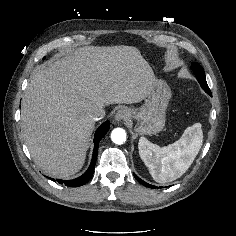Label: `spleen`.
<instances>
[{"mask_svg":"<svg viewBox=\"0 0 236 236\" xmlns=\"http://www.w3.org/2000/svg\"><path fill=\"white\" fill-rule=\"evenodd\" d=\"M203 142L200 123L188 127L181 138L165 147L151 143L141 137L138 143L139 155L152 178L167 183L181 177L193 163Z\"/></svg>","mask_w":236,"mask_h":236,"instance_id":"1","label":"spleen"}]
</instances>
